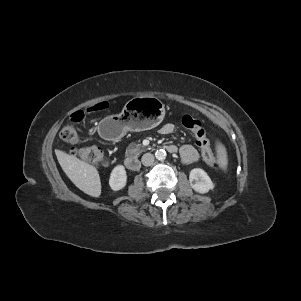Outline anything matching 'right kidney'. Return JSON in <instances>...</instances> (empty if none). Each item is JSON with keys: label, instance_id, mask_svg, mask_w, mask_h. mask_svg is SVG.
<instances>
[{"label": "right kidney", "instance_id": "1", "mask_svg": "<svg viewBox=\"0 0 301 301\" xmlns=\"http://www.w3.org/2000/svg\"><path fill=\"white\" fill-rule=\"evenodd\" d=\"M127 175L123 165L114 167L110 174L109 186L113 191H119L126 186Z\"/></svg>", "mask_w": 301, "mask_h": 301}]
</instances>
